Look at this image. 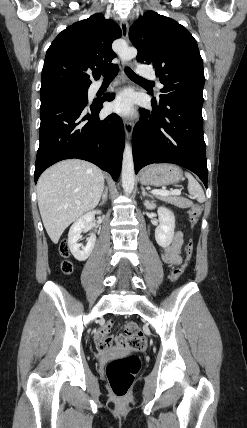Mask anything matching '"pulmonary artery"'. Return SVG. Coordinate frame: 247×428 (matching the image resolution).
<instances>
[{
  "label": "pulmonary artery",
  "mask_w": 247,
  "mask_h": 428,
  "mask_svg": "<svg viewBox=\"0 0 247 428\" xmlns=\"http://www.w3.org/2000/svg\"><path fill=\"white\" fill-rule=\"evenodd\" d=\"M137 72H138L139 75H141L143 77H147V78H150V79H154L155 78L154 71L150 67H148V66H145V65L139 66L138 69H137ZM158 85L161 86L160 83ZM100 86H101V84L98 83L96 85V88H99Z\"/></svg>",
  "instance_id": "1"
}]
</instances>
